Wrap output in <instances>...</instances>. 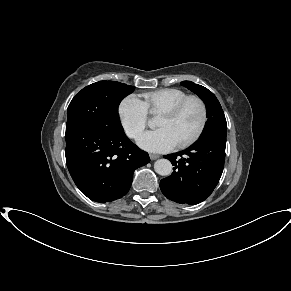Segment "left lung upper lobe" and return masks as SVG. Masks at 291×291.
Wrapping results in <instances>:
<instances>
[{
  "label": "left lung upper lobe",
  "instance_id": "1",
  "mask_svg": "<svg viewBox=\"0 0 291 291\" xmlns=\"http://www.w3.org/2000/svg\"><path fill=\"white\" fill-rule=\"evenodd\" d=\"M181 84L197 94L206 105L208 120L200 138L206 136L226 137L227 123L222 107L216 96L207 88L191 81H183Z\"/></svg>",
  "mask_w": 291,
  "mask_h": 291
}]
</instances>
